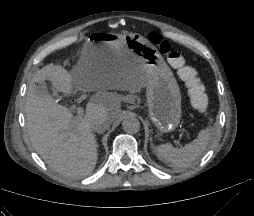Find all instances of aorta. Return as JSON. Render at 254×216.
<instances>
[{
    "label": "aorta",
    "mask_w": 254,
    "mask_h": 216,
    "mask_svg": "<svg viewBox=\"0 0 254 216\" xmlns=\"http://www.w3.org/2000/svg\"><path fill=\"white\" fill-rule=\"evenodd\" d=\"M122 128L129 134H135L140 130V121L135 116L129 115L123 120Z\"/></svg>",
    "instance_id": "1"
}]
</instances>
